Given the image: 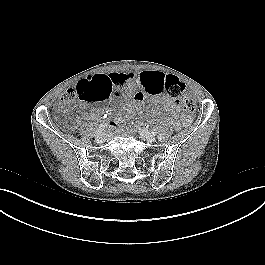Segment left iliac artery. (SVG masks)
<instances>
[{
  "mask_svg": "<svg viewBox=\"0 0 265 265\" xmlns=\"http://www.w3.org/2000/svg\"><path fill=\"white\" fill-rule=\"evenodd\" d=\"M153 133H154V132H153ZM158 139H162V136H161V135H159V136H158Z\"/></svg>",
  "mask_w": 265,
  "mask_h": 265,
  "instance_id": "obj_1",
  "label": "left iliac artery"
}]
</instances>
